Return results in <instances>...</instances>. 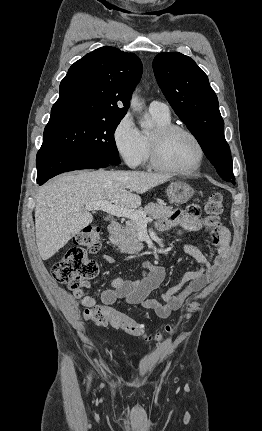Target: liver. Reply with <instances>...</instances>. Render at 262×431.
<instances>
[{"label":"liver","instance_id":"6515ba94","mask_svg":"<svg viewBox=\"0 0 262 431\" xmlns=\"http://www.w3.org/2000/svg\"><path fill=\"white\" fill-rule=\"evenodd\" d=\"M169 175L141 171H79L58 176L42 186L36 197L35 229L39 254L51 258L93 221L85 205L109 201L135 210L139 194L163 184Z\"/></svg>","mask_w":262,"mask_h":431}]
</instances>
